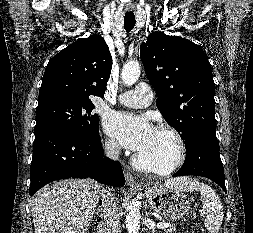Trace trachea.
I'll return each instance as SVG.
<instances>
[{"mask_svg": "<svg viewBox=\"0 0 253 233\" xmlns=\"http://www.w3.org/2000/svg\"><path fill=\"white\" fill-rule=\"evenodd\" d=\"M135 15L132 12H126L124 17V28L127 32L131 31L135 26Z\"/></svg>", "mask_w": 253, "mask_h": 233, "instance_id": "3493384b", "label": "trachea"}]
</instances>
